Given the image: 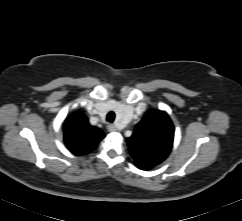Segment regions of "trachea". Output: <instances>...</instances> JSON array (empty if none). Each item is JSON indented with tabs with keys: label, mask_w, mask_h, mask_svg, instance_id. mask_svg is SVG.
<instances>
[{
	"label": "trachea",
	"mask_w": 242,
	"mask_h": 221,
	"mask_svg": "<svg viewBox=\"0 0 242 221\" xmlns=\"http://www.w3.org/2000/svg\"><path fill=\"white\" fill-rule=\"evenodd\" d=\"M106 120L110 123H112L115 120V113L113 111H110L107 114Z\"/></svg>",
	"instance_id": "1"
}]
</instances>
